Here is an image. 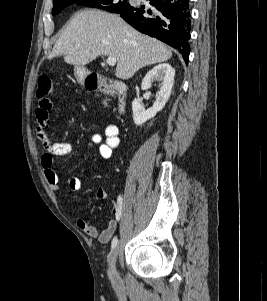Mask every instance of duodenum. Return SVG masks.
I'll list each match as a JSON object with an SVG mask.
<instances>
[{
	"mask_svg": "<svg viewBox=\"0 0 267 301\" xmlns=\"http://www.w3.org/2000/svg\"><path fill=\"white\" fill-rule=\"evenodd\" d=\"M85 88L90 91H100L105 94L114 92L117 96L116 109L120 115L124 114L127 105V85L122 81H110L97 75L84 76Z\"/></svg>",
	"mask_w": 267,
	"mask_h": 301,
	"instance_id": "duodenum-1",
	"label": "duodenum"
}]
</instances>
